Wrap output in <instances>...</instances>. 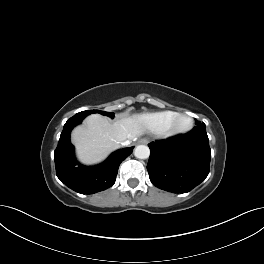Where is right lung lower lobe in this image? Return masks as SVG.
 I'll use <instances>...</instances> for the list:
<instances>
[{"label":"right lung lower lobe","mask_w":264,"mask_h":264,"mask_svg":"<svg viewBox=\"0 0 264 264\" xmlns=\"http://www.w3.org/2000/svg\"><path fill=\"white\" fill-rule=\"evenodd\" d=\"M84 116L74 115L65 123L58 146L54 152L56 175L62 183L81 194H94L111 187L116 180L120 163L128 157L134 147L112 153L97 166H83L74 158V147L70 143V132L80 124Z\"/></svg>","instance_id":"98d812e1"}]
</instances>
